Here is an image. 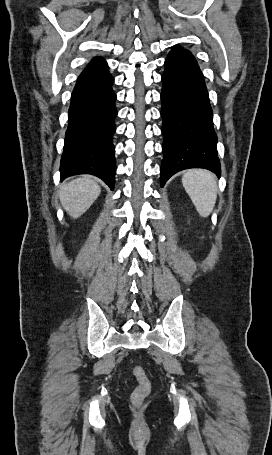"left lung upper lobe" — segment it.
Returning <instances> with one entry per match:
<instances>
[{
	"instance_id": "5c2ea615",
	"label": "left lung upper lobe",
	"mask_w": 272,
	"mask_h": 455,
	"mask_svg": "<svg viewBox=\"0 0 272 455\" xmlns=\"http://www.w3.org/2000/svg\"><path fill=\"white\" fill-rule=\"evenodd\" d=\"M191 54L189 51H187L186 49H183L177 45H175L173 47V49L170 51L168 57H181V56H184V55H189Z\"/></svg>"
}]
</instances>
